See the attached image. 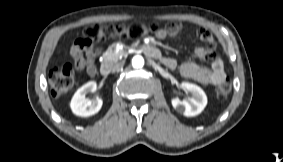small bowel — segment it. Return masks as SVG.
Here are the masks:
<instances>
[{"instance_id":"obj_1","label":"small bowel","mask_w":283,"mask_h":162,"mask_svg":"<svg viewBox=\"0 0 283 162\" xmlns=\"http://www.w3.org/2000/svg\"><path fill=\"white\" fill-rule=\"evenodd\" d=\"M182 31V26L177 23H171L156 32V37L165 39L167 37L177 38ZM200 39L207 43V47H197L194 51L199 59L212 60L211 67H204L194 61H186L181 64L180 72L182 76L196 80L205 85H218L226 79L223 61L220 57L215 56L216 45L211 34L205 28L197 31ZM100 50L95 48L84 38L77 39L71 47L70 54L74 67L77 70L85 69L87 74L92 78L99 76L95 59L99 55ZM162 62L169 68L174 69L177 66L175 59L171 57H163Z\"/></svg>"}]
</instances>
